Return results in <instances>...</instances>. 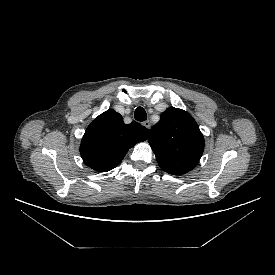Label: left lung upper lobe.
I'll return each instance as SVG.
<instances>
[{"label":"left lung upper lobe","mask_w":275,"mask_h":275,"mask_svg":"<svg viewBox=\"0 0 275 275\" xmlns=\"http://www.w3.org/2000/svg\"><path fill=\"white\" fill-rule=\"evenodd\" d=\"M149 143L159 166L172 175L191 171L204 151V137L193 117L169 107L150 130Z\"/></svg>","instance_id":"1"}]
</instances>
